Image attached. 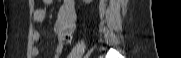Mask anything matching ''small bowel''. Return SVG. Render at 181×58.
I'll return each instance as SVG.
<instances>
[{
	"mask_svg": "<svg viewBox=\"0 0 181 58\" xmlns=\"http://www.w3.org/2000/svg\"><path fill=\"white\" fill-rule=\"evenodd\" d=\"M49 0H46L48 3ZM46 19V9L40 7L34 10L33 20L36 23H43ZM77 20V7L74 0H66L63 6L60 8L57 20L54 26V34L58 40V44L55 50L54 58H59L64 46L71 42L72 34L75 30V22ZM32 39L34 42L40 40V33L34 31L32 34ZM39 48L34 45L32 47V54L38 55Z\"/></svg>",
	"mask_w": 181,
	"mask_h": 58,
	"instance_id": "c3829d8e",
	"label": "small bowel"
}]
</instances>
